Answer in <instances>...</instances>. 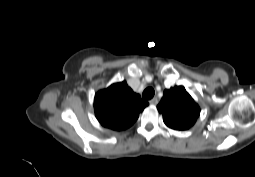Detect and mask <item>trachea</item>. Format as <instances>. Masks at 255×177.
I'll return each mask as SVG.
<instances>
[{"label":"trachea","instance_id":"1","mask_svg":"<svg viewBox=\"0 0 255 177\" xmlns=\"http://www.w3.org/2000/svg\"><path fill=\"white\" fill-rule=\"evenodd\" d=\"M154 94V89L152 87H148L143 91V98L146 100H150L151 98H153Z\"/></svg>","mask_w":255,"mask_h":177}]
</instances>
